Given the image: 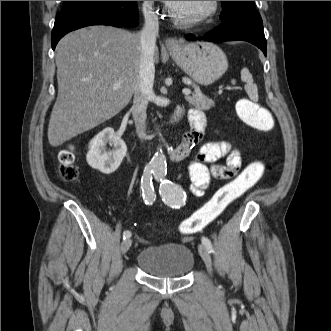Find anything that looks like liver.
<instances>
[{
  "label": "liver",
  "mask_w": 331,
  "mask_h": 331,
  "mask_svg": "<svg viewBox=\"0 0 331 331\" xmlns=\"http://www.w3.org/2000/svg\"><path fill=\"white\" fill-rule=\"evenodd\" d=\"M153 58L158 62L156 46ZM140 60V33L91 26L65 35L56 46L58 96L48 125L50 145L58 147L124 109L139 80Z\"/></svg>",
  "instance_id": "6515ba94"
}]
</instances>
